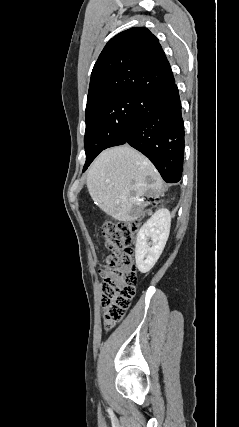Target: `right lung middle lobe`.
Here are the masks:
<instances>
[{
    "label": "right lung middle lobe",
    "instance_id": "right-lung-middle-lobe-1",
    "mask_svg": "<svg viewBox=\"0 0 239 427\" xmlns=\"http://www.w3.org/2000/svg\"><path fill=\"white\" fill-rule=\"evenodd\" d=\"M139 102L140 96L126 95L97 101L86 107V162L83 172L101 151L123 143Z\"/></svg>",
    "mask_w": 239,
    "mask_h": 427
}]
</instances>
